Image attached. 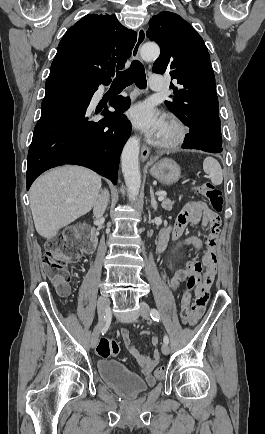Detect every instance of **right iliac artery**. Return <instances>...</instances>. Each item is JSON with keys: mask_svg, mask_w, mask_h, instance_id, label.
I'll return each mask as SVG.
<instances>
[{"mask_svg": "<svg viewBox=\"0 0 265 434\" xmlns=\"http://www.w3.org/2000/svg\"><path fill=\"white\" fill-rule=\"evenodd\" d=\"M105 321H108L111 319V311L110 308L107 309L106 315L104 316Z\"/></svg>", "mask_w": 265, "mask_h": 434, "instance_id": "1", "label": "right iliac artery"}]
</instances>
